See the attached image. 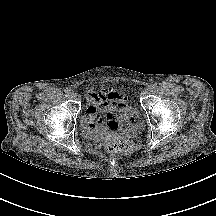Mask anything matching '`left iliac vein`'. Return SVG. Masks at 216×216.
<instances>
[{
    "label": "left iliac vein",
    "instance_id": "1",
    "mask_svg": "<svg viewBox=\"0 0 216 216\" xmlns=\"http://www.w3.org/2000/svg\"><path fill=\"white\" fill-rule=\"evenodd\" d=\"M149 93H150V90H149V89H144V90L142 91V94H143L144 96H147Z\"/></svg>",
    "mask_w": 216,
    "mask_h": 216
}]
</instances>
